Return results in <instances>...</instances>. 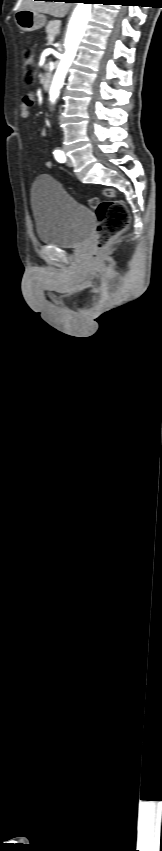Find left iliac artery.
Here are the masks:
<instances>
[{
	"instance_id": "obj_1",
	"label": "left iliac artery",
	"mask_w": 162,
	"mask_h": 851,
	"mask_svg": "<svg viewBox=\"0 0 162 851\" xmlns=\"http://www.w3.org/2000/svg\"><path fill=\"white\" fill-rule=\"evenodd\" d=\"M54 156H55L56 160H57L58 162H60V163H64V162H65V160H66L65 155H64V153H63V151H62V150H59V149H58V150H55V151H54Z\"/></svg>"
}]
</instances>
